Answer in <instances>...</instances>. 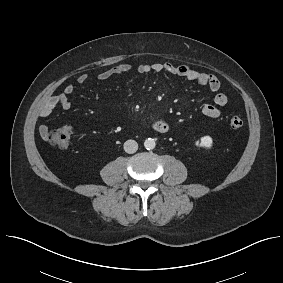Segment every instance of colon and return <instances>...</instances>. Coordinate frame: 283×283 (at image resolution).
<instances>
[{
	"mask_svg": "<svg viewBox=\"0 0 283 283\" xmlns=\"http://www.w3.org/2000/svg\"><path fill=\"white\" fill-rule=\"evenodd\" d=\"M229 124L233 129H239L243 126V119L239 116H233L229 120ZM73 127L71 125L65 124L50 130L47 133L48 143L60 150H65L71 145L73 137Z\"/></svg>",
	"mask_w": 283,
	"mask_h": 283,
	"instance_id": "obj_1",
	"label": "colon"
}]
</instances>
